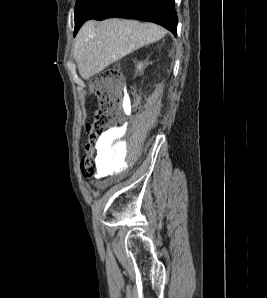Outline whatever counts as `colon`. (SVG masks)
I'll list each match as a JSON object with an SVG mask.
<instances>
[{
    "mask_svg": "<svg viewBox=\"0 0 267 298\" xmlns=\"http://www.w3.org/2000/svg\"><path fill=\"white\" fill-rule=\"evenodd\" d=\"M122 76L116 69H107L92 80V90L97 97L94 119L87 125L88 142L81 159L84 177H94L98 172L97 156L104 143L105 134L124 123L121 113Z\"/></svg>",
    "mask_w": 267,
    "mask_h": 298,
    "instance_id": "obj_1",
    "label": "colon"
}]
</instances>
